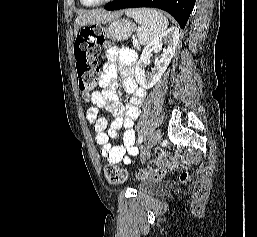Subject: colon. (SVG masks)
I'll list each match as a JSON object with an SVG mask.
<instances>
[{
  "mask_svg": "<svg viewBox=\"0 0 257 237\" xmlns=\"http://www.w3.org/2000/svg\"><path fill=\"white\" fill-rule=\"evenodd\" d=\"M108 42L102 31L94 26L81 30L74 42V55L76 60L78 87L84 94H88L98 79V54ZM158 159L149 163L147 168L139 169L135 176L143 180L147 178L158 179L165 175L167 169H173L177 165L175 156L159 151ZM106 180L114 185L126 181L127 173L115 164L108 163L104 166ZM191 178L189 172L181 174V181L188 182Z\"/></svg>",
  "mask_w": 257,
  "mask_h": 237,
  "instance_id": "obj_1",
  "label": "colon"
}]
</instances>
